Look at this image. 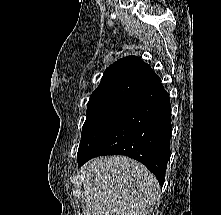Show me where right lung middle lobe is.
<instances>
[{"instance_id": "1", "label": "right lung middle lobe", "mask_w": 221, "mask_h": 215, "mask_svg": "<svg viewBox=\"0 0 221 215\" xmlns=\"http://www.w3.org/2000/svg\"><path fill=\"white\" fill-rule=\"evenodd\" d=\"M131 101L129 99H108L88 103L78 158L89 154Z\"/></svg>"}]
</instances>
